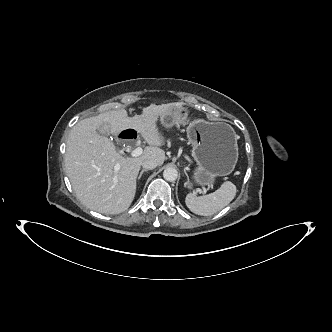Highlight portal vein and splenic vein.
I'll list each match as a JSON object with an SVG mask.
<instances>
[{"label":"portal vein and splenic vein","mask_w":332,"mask_h":332,"mask_svg":"<svg viewBox=\"0 0 332 332\" xmlns=\"http://www.w3.org/2000/svg\"><path fill=\"white\" fill-rule=\"evenodd\" d=\"M142 152H143L142 148L141 147H137L136 149L132 150V152L130 153V155L132 157H138V156L142 155ZM114 169H115V171H118L120 169V164L117 163L114 166Z\"/></svg>","instance_id":"portal-vein-and-splenic-vein-1"}]
</instances>
